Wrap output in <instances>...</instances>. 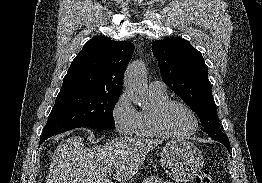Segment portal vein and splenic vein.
Segmentation results:
<instances>
[{
  "mask_svg": "<svg viewBox=\"0 0 262 183\" xmlns=\"http://www.w3.org/2000/svg\"><path fill=\"white\" fill-rule=\"evenodd\" d=\"M112 172H113V171H111V170H110V171H108V174H110V175H111V174H112Z\"/></svg>",
  "mask_w": 262,
  "mask_h": 183,
  "instance_id": "18ae733b",
  "label": "portal vein and splenic vein"
}]
</instances>
